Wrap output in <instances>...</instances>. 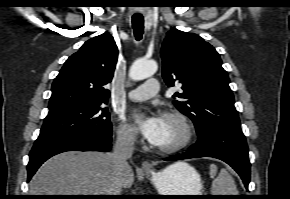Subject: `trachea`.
<instances>
[{
    "instance_id": "trachea-1",
    "label": "trachea",
    "mask_w": 290,
    "mask_h": 199,
    "mask_svg": "<svg viewBox=\"0 0 290 199\" xmlns=\"http://www.w3.org/2000/svg\"><path fill=\"white\" fill-rule=\"evenodd\" d=\"M143 17L142 15H134L132 17V26L136 40H141L143 35Z\"/></svg>"
}]
</instances>
